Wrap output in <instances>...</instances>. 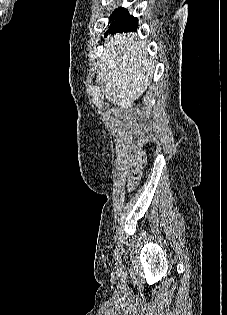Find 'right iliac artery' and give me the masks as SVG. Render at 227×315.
<instances>
[{
  "label": "right iliac artery",
  "mask_w": 227,
  "mask_h": 315,
  "mask_svg": "<svg viewBox=\"0 0 227 315\" xmlns=\"http://www.w3.org/2000/svg\"><path fill=\"white\" fill-rule=\"evenodd\" d=\"M115 259L117 260V261H119L120 260V254H119V250L118 249H115Z\"/></svg>",
  "instance_id": "1"
}]
</instances>
